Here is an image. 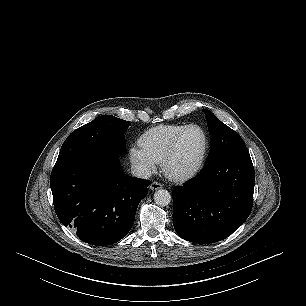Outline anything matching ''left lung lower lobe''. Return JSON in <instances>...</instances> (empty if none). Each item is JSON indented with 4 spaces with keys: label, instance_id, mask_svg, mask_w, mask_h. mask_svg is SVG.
<instances>
[{
    "label": "left lung lower lobe",
    "instance_id": "1",
    "mask_svg": "<svg viewBox=\"0 0 306 306\" xmlns=\"http://www.w3.org/2000/svg\"><path fill=\"white\" fill-rule=\"evenodd\" d=\"M255 173L250 154L227 156L204 166L173 189V225L190 242L209 244L232 234L253 206Z\"/></svg>",
    "mask_w": 306,
    "mask_h": 306
}]
</instances>
